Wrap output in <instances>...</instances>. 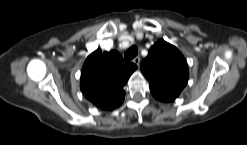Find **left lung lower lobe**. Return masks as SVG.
Instances as JSON below:
<instances>
[{
  "mask_svg": "<svg viewBox=\"0 0 247 145\" xmlns=\"http://www.w3.org/2000/svg\"><path fill=\"white\" fill-rule=\"evenodd\" d=\"M152 94L157 100H160L163 102H171L175 99V98H173L167 94H163V93L152 92Z\"/></svg>",
  "mask_w": 247,
  "mask_h": 145,
  "instance_id": "left-lung-lower-lobe-1",
  "label": "left lung lower lobe"
}]
</instances>
